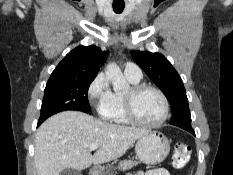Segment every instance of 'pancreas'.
<instances>
[{
    "instance_id": "pancreas-1",
    "label": "pancreas",
    "mask_w": 233,
    "mask_h": 175,
    "mask_svg": "<svg viewBox=\"0 0 233 175\" xmlns=\"http://www.w3.org/2000/svg\"><path fill=\"white\" fill-rule=\"evenodd\" d=\"M138 164H139V162H137V161L123 160V161L119 162L118 169L121 171H126V170L133 168L134 166H137Z\"/></svg>"
}]
</instances>
